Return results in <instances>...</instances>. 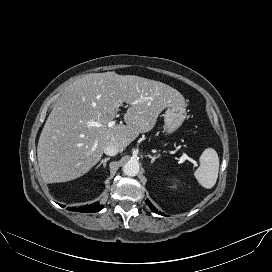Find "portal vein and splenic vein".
<instances>
[{"label":"portal vein and splenic vein","instance_id":"obj_1","mask_svg":"<svg viewBox=\"0 0 272 272\" xmlns=\"http://www.w3.org/2000/svg\"><path fill=\"white\" fill-rule=\"evenodd\" d=\"M115 124H116V121H115V120H112V121H110V122L107 124V126H108L109 128H111V127H114ZM89 126H92V127H101L102 124H100V123H98V122L91 121V122H89ZM95 148H96V145H94L93 150H95ZM182 159L188 160V161L192 162L193 164L197 165V162H196L195 160H193L192 158L188 157L186 153H183V154H182Z\"/></svg>","mask_w":272,"mask_h":272}]
</instances>
